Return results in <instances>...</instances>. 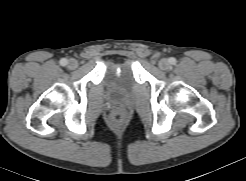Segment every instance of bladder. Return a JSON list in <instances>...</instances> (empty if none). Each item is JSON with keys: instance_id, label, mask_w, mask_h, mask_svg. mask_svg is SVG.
Masks as SVG:
<instances>
[{"instance_id": "31cf9c89", "label": "bladder", "mask_w": 246, "mask_h": 181, "mask_svg": "<svg viewBox=\"0 0 246 181\" xmlns=\"http://www.w3.org/2000/svg\"><path fill=\"white\" fill-rule=\"evenodd\" d=\"M134 77V67L131 63H124L122 64L118 70H116V74L111 80L112 89L116 93H122L129 89L133 83Z\"/></svg>"}]
</instances>
